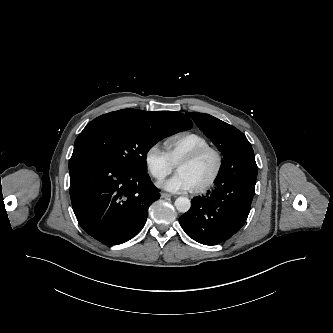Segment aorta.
Segmentation results:
<instances>
[{
	"label": "aorta",
	"instance_id": "762f6f07",
	"mask_svg": "<svg viewBox=\"0 0 333 333\" xmlns=\"http://www.w3.org/2000/svg\"><path fill=\"white\" fill-rule=\"evenodd\" d=\"M175 207L176 209L181 212V213H185L187 212L190 207H191V202L188 198L186 197H178L175 200Z\"/></svg>",
	"mask_w": 333,
	"mask_h": 333
}]
</instances>
